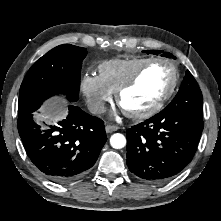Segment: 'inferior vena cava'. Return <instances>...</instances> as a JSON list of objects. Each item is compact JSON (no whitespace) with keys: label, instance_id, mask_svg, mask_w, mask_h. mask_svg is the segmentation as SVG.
<instances>
[{"label":"inferior vena cava","instance_id":"602c4592","mask_svg":"<svg viewBox=\"0 0 221 221\" xmlns=\"http://www.w3.org/2000/svg\"><path fill=\"white\" fill-rule=\"evenodd\" d=\"M88 110L92 114H102L106 111L105 103L103 101H95L88 104Z\"/></svg>","mask_w":221,"mask_h":221}]
</instances>
